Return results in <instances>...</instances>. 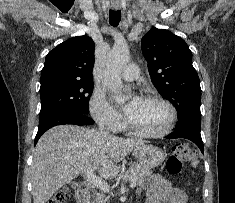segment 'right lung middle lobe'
I'll return each mask as SVG.
<instances>
[{
  "mask_svg": "<svg viewBox=\"0 0 235 203\" xmlns=\"http://www.w3.org/2000/svg\"><path fill=\"white\" fill-rule=\"evenodd\" d=\"M93 91V81H58L40 87L39 118L60 111H74L87 115Z\"/></svg>",
  "mask_w": 235,
  "mask_h": 203,
  "instance_id": "right-lung-middle-lobe-1",
  "label": "right lung middle lobe"
}]
</instances>
